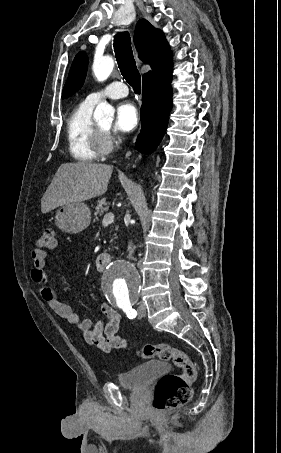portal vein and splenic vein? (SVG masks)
I'll use <instances>...</instances> for the list:
<instances>
[{
    "label": "portal vein and splenic vein",
    "mask_w": 281,
    "mask_h": 453,
    "mask_svg": "<svg viewBox=\"0 0 281 453\" xmlns=\"http://www.w3.org/2000/svg\"><path fill=\"white\" fill-rule=\"evenodd\" d=\"M104 222H113L114 220V214L113 212H107L103 218Z\"/></svg>",
    "instance_id": "obj_1"
}]
</instances>
